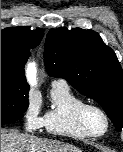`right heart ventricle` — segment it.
Segmentation results:
<instances>
[{
	"instance_id": "obj_1",
	"label": "right heart ventricle",
	"mask_w": 123,
	"mask_h": 152,
	"mask_svg": "<svg viewBox=\"0 0 123 152\" xmlns=\"http://www.w3.org/2000/svg\"><path fill=\"white\" fill-rule=\"evenodd\" d=\"M52 106L42 116V127L48 134L73 139L87 136L75 121L76 108L84 103L67 85L52 86Z\"/></svg>"
}]
</instances>
